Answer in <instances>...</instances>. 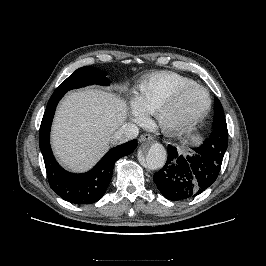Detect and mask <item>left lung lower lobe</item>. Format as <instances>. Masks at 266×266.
Instances as JSON below:
<instances>
[{"label": "left lung lower lobe", "instance_id": "left-lung-lower-lobe-1", "mask_svg": "<svg viewBox=\"0 0 266 266\" xmlns=\"http://www.w3.org/2000/svg\"><path fill=\"white\" fill-rule=\"evenodd\" d=\"M228 141L215 139L194 148L196 154L185 156L168 146V158L153 180L161 194L172 201L186 200L206 190L218 177Z\"/></svg>", "mask_w": 266, "mask_h": 266}]
</instances>
